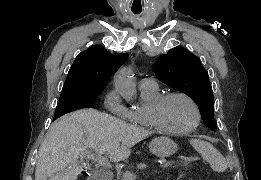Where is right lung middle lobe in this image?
I'll return each instance as SVG.
<instances>
[{
	"instance_id": "1",
	"label": "right lung middle lobe",
	"mask_w": 261,
	"mask_h": 180,
	"mask_svg": "<svg viewBox=\"0 0 261 180\" xmlns=\"http://www.w3.org/2000/svg\"><path fill=\"white\" fill-rule=\"evenodd\" d=\"M102 90L86 88L62 89L59 103L55 110L54 120L68 112L80 108H90Z\"/></svg>"
}]
</instances>
